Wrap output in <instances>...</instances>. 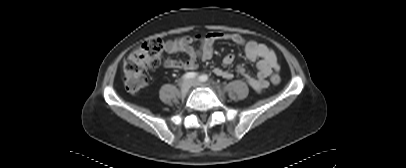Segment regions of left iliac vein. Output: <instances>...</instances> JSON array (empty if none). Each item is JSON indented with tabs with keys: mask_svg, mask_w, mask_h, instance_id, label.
I'll return each instance as SVG.
<instances>
[{
	"mask_svg": "<svg viewBox=\"0 0 406 168\" xmlns=\"http://www.w3.org/2000/svg\"><path fill=\"white\" fill-rule=\"evenodd\" d=\"M193 81V86H201L203 85L201 82L197 81V80H192Z\"/></svg>",
	"mask_w": 406,
	"mask_h": 168,
	"instance_id": "left-iliac-vein-1",
	"label": "left iliac vein"
}]
</instances>
